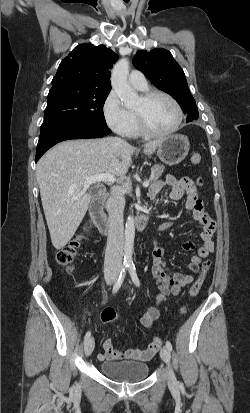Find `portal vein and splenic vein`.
<instances>
[{
    "label": "portal vein and splenic vein",
    "instance_id": "1",
    "mask_svg": "<svg viewBox=\"0 0 250 413\" xmlns=\"http://www.w3.org/2000/svg\"><path fill=\"white\" fill-rule=\"evenodd\" d=\"M96 182H111V183L119 182L120 183V182H122V180H119L115 176H113L111 174H108V173L98 174V175H94V176L85 178V185L86 186H89V185H91L93 183H96ZM149 183H150L149 180L144 181L143 182V187H145V188L148 187ZM125 186L129 187L128 184H125Z\"/></svg>",
    "mask_w": 250,
    "mask_h": 413
}]
</instances>
